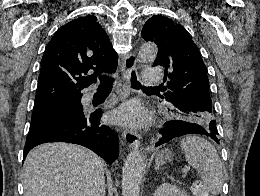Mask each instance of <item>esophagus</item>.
<instances>
[{
  "instance_id": "34e87169",
  "label": "esophagus",
  "mask_w": 260,
  "mask_h": 196,
  "mask_svg": "<svg viewBox=\"0 0 260 196\" xmlns=\"http://www.w3.org/2000/svg\"><path fill=\"white\" fill-rule=\"evenodd\" d=\"M137 59L134 53H129L123 58V72L126 79L129 80L131 73L136 70ZM123 138L131 147L141 146V136L134 130L125 129Z\"/></svg>"
}]
</instances>
